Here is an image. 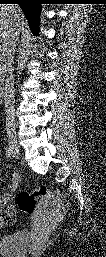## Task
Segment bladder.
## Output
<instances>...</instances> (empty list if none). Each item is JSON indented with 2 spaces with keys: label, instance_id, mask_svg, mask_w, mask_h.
I'll return each instance as SVG.
<instances>
[{
  "label": "bladder",
  "instance_id": "1",
  "mask_svg": "<svg viewBox=\"0 0 106 257\" xmlns=\"http://www.w3.org/2000/svg\"><path fill=\"white\" fill-rule=\"evenodd\" d=\"M30 235L19 231L0 238V254L4 257H23L27 253Z\"/></svg>",
  "mask_w": 106,
  "mask_h": 257
}]
</instances>
